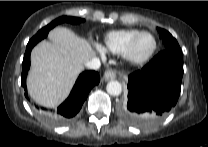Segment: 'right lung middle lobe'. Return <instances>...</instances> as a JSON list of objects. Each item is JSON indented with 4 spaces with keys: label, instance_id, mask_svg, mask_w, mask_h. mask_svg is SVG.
<instances>
[{
    "label": "right lung middle lobe",
    "instance_id": "1",
    "mask_svg": "<svg viewBox=\"0 0 208 147\" xmlns=\"http://www.w3.org/2000/svg\"><path fill=\"white\" fill-rule=\"evenodd\" d=\"M71 23V24H78L84 22V19L78 18V17H71V16H61L54 21H52L50 24L47 26L43 27L34 37H41L45 36L48 34L49 30L54 28L56 25L61 24V23Z\"/></svg>",
    "mask_w": 208,
    "mask_h": 147
}]
</instances>
